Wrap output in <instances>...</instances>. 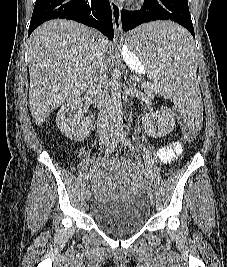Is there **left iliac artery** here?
I'll use <instances>...</instances> for the list:
<instances>
[{
    "instance_id": "left-iliac-artery-1",
    "label": "left iliac artery",
    "mask_w": 227,
    "mask_h": 267,
    "mask_svg": "<svg viewBox=\"0 0 227 267\" xmlns=\"http://www.w3.org/2000/svg\"><path fill=\"white\" fill-rule=\"evenodd\" d=\"M117 134H118V136H120V138H121L122 142L124 143V145L128 146L129 148H133L130 140L126 136V133L122 129L119 130L117 132Z\"/></svg>"
}]
</instances>
